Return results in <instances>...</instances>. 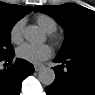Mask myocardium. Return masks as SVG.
Listing matches in <instances>:
<instances>
[{
	"instance_id": "1",
	"label": "myocardium",
	"mask_w": 95,
	"mask_h": 95,
	"mask_svg": "<svg viewBox=\"0 0 95 95\" xmlns=\"http://www.w3.org/2000/svg\"><path fill=\"white\" fill-rule=\"evenodd\" d=\"M51 40L56 44L58 45L61 41L60 37L59 36H56V35H52L51 36Z\"/></svg>"
}]
</instances>
